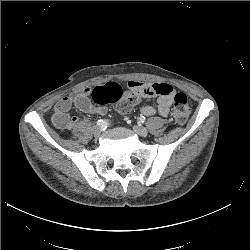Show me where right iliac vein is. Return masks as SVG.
Returning a JSON list of instances; mask_svg holds the SVG:
<instances>
[{"mask_svg": "<svg viewBox=\"0 0 250 250\" xmlns=\"http://www.w3.org/2000/svg\"><path fill=\"white\" fill-rule=\"evenodd\" d=\"M101 133V128L98 126H94L93 127V134L95 135V137H98Z\"/></svg>", "mask_w": 250, "mask_h": 250, "instance_id": "obj_1", "label": "right iliac vein"}]
</instances>
